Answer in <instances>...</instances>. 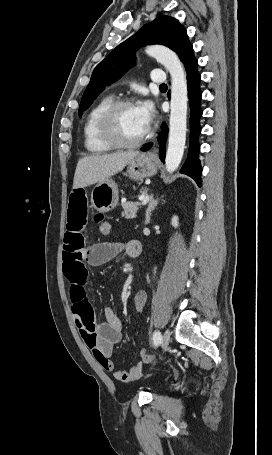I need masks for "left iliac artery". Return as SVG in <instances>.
Returning a JSON list of instances; mask_svg holds the SVG:
<instances>
[{"label": "left iliac artery", "instance_id": "obj_1", "mask_svg": "<svg viewBox=\"0 0 272 455\" xmlns=\"http://www.w3.org/2000/svg\"><path fill=\"white\" fill-rule=\"evenodd\" d=\"M161 340V333L159 331H155L153 333V341L154 345L157 346Z\"/></svg>", "mask_w": 272, "mask_h": 455}]
</instances>
